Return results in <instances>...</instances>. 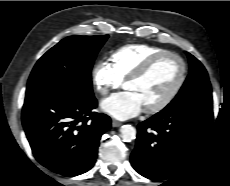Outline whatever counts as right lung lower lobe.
I'll return each instance as SVG.
<instances>
[{"label": "right lung lower lobe", "mask_w": 230, "mask_h": 186, "mask_svg": "<svg viewBox=\"0 0 230 186\" xmlns=\"http://www.w3.org/2000/svg\"><path fill=\"white\" fill-rule=\"evenodd\" d=\"M96 107L93 94L48 89L26 96L22 123L36 160L68 177L91 169L99 140L111 128Z\"/></svg>", "instance_id": "obj_1"}]
</instances>
